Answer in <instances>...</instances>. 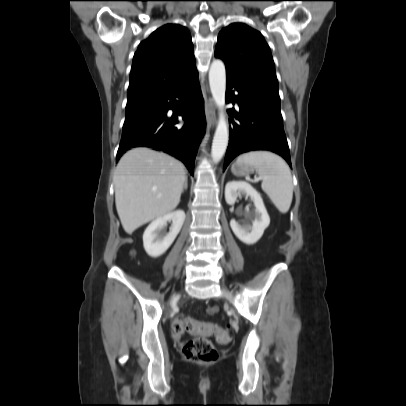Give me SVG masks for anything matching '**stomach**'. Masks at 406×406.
I'll return each instance as SVG.
<instances>
[{
  "instance_id": "0dacf381",
  "label": "stomach",
  "mask_w": 406,
  "mask_h": 406,
  "mask_svg": "<svg viewBox=\"0 0 406 406\" xmlns=\"http://www.w3.org/2000/svg\"><path fill=\"white\" fill-rule=\"evenodd\" d=\"M254 169L255 168L253 166L238 161H236L231 167L232 173L236 176H247L253 173Z\"/></svg>"
}]
</instances>
